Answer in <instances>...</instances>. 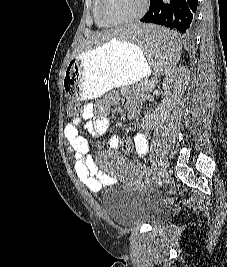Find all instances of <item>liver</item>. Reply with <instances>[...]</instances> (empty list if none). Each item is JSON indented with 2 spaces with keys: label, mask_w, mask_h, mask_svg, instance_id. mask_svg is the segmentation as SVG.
<instances>
[{
  "label": "liver",
  "mask_w": 227,
  "mask_h": 267,
  "mask_svg": "<svg viewBox=\"0 0 227 267\" xmlns=\"http://www.w3.org/2000/svg\"><path fill=\"white\" fill-rule=\"evenodd\" d=\"M120 33H125V30H117V28H114L111 30L96 32L88 39V41L85 42L86 48H78L74 51L72 57H74L80 51L83 52L101 46L107 41L119 37Z\"/></svg>",
  "instance_id": "liver-1"
}]
</instances>
